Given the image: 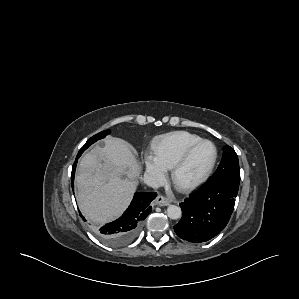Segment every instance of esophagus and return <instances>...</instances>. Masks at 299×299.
Returning a JSON list of instances; mask_svg holds the SVG:
<instances>
[{
	"mask_svg": "<svg viewBox=\"0 0 299 299\" xmlns=\"http://www.w3.org/2000/svg\"><path fill=\"white\" fill-rule=\"evenodd\" d=\"M154 203L155 205H158V206H166L170 203L169 199L162 196V195H158L156 197V199L154 200Z\"/></svg>",
	"mask_w": 299,
	"mask_h": 299,
	"instance_id": "34e87169",
	"label": "esophagus"
}]
</instances>
